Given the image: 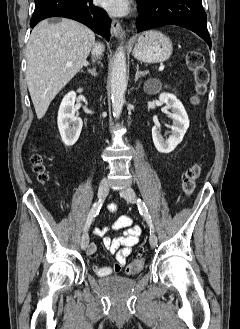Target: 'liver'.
<instances>
[{
    "mask_svg": "<svg viewBox=\"0 0 240 329\" xmlns=\"http://www.w3.org/2000/svg\"><path fill=\"white\" fill-rule=\"evenodd\" d=\"M94 41L89 28L69 19L56 25L45 20L32 30L26 48V82L38 119L43 118L59 91L87 65Z\"/></svg>",
    "mask_w": 240,
    "mask_h": 329,
    "instance_id": "obj_1",
    "label": "liver"
}]
</instances>
